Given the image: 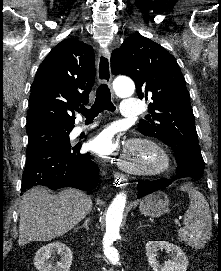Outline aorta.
Wrapping results in <instances>:
<instances>
[{
  "label": "aorta",
  "instance_id": "1",
  "mask_svg": "<svg viewBox=\"0 0 221 271\" xmlns=\"http://www.w3.org/2000/svg\"><path fill=\"white\" fill-rule=\"evenodd\" d=\"M113 88L118 96L129 97L134 93L135 85L129 78H117L113 82ZM126 198L124 192L117 194L106 213V232L103 238V251L112 264L119 262V253L112 245L119 236Z\"/></svg>",
  "mask_w": 221,
  "mask_h": 271
}]
</instances>
